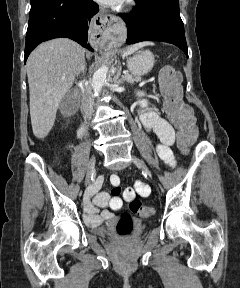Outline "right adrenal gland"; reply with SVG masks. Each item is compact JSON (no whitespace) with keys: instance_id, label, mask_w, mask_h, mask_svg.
Segmentation results:
<instances>
[{"instance_id":"right-adrenal-gland-1","label":"right adrenal gland","mask_w":240,"mask_h":288,"mask_svg":"<svg viewBox=\"0 0 240 288\" xmlns=\"http://www.w3.org/2000/svg\"><path fill=\"white\" fill-rule=\"evenodd\" d=\"M85 68H86V62L83 61V64H82L80 70H79L78 73H77V77H78L81 73L84 74V72H85Z\"/></svg>"}]
</instances>
